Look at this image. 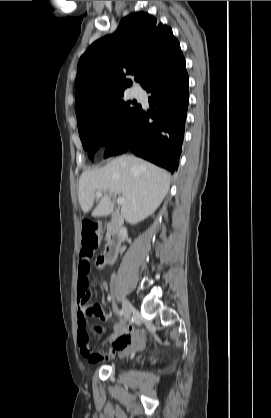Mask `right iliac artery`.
I'll return each instance as SVG.
<instances>
[{
	"instance_id": "82829eb1",
	"label": "right iliac artery",
	"mask_w": 271,
	"mask_h": 418,
	"mask_svg": "<svg viewBox=\"0 0 271 418\" xmlns=\"http://www.w3.org/2000/svg\"><path fill=\"white\" fill-rule=\"evenodd\" d=\"M124 314L123 310L119 311V315L122 316Z\"/></svg>"
}]
</instances>
